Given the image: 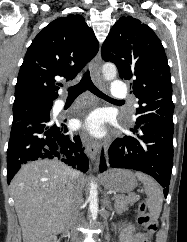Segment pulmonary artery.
Instances as JSON below:
<instances>
[{
  "label": "pulmonary artery",
  "instance_id": "1",
  "mask_svg": "<svg viewBox=\"0 0 187 242\" xmlns=\"http://www.w3.org/2000/svg\"><path fill=\"white\" fill-rule=\"evenodd\" d=\"M111 94L115 98H125L127 95V88L126 85L120 81H114L112 83Z\"/></svg>",
  "mask_w": 187,
  "mask_h": 242
}]
</instances>
